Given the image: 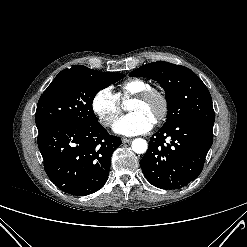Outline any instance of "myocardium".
Masks as SVG:
<instances>
[{
	"label": "myocardium",
	"instance_id": "1",
	"mask_svg": "<svg viewBox=\"0 0 247 247\" xmlns=\"http://www.w3.org/2000/svg\"><path fill=\"white\" fill-rule=\"evenodd\" d=\"M153 98H157L161 104L160 111L155 118V122L160 123L166 119L169 113V99L166 93L160 89L151 87L134 96V100L140 102H147Z\"/></svg>",
	"mask_w": 247,
	"mask_h": 247
}]
</instances>
